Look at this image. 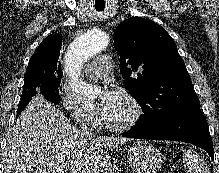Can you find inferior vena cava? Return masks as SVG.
Segmentation results:
<instances>
[{
	"mask_svg": "<svg viewBox=\"0 0 219 173\" xmlns=\"http://www.w3.org/2000/svg\"><path fill=\"white\" fill-rule=\"evenodd\" d=\"M81 134L83 136H86V137H92L93 134L92 132L89 130L88 126L86 124H81Z\"/></svg>",
	"mask_w": 219,
	"mask_h": 173,
	"instance_id": "1",
	"label": "inferior vena cava"
}]
</instances>
